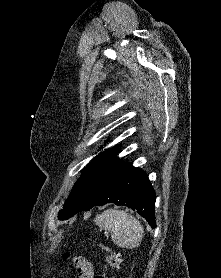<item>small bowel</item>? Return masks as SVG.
<instances>
[{"mask_svg":"<svg viewBox=\"0 0 221 278\" xmlns=\"http://www.w3.org/2000/svg\"><path fill=\"white\" fill-rule=\"evenodd\" d=\"M87 261V260H86ZM90 265H92V263H90L89 261H87ZM93 266V265H92Z\"/></svg>","mask_w":221,"mask_h":278,"instance_id":"small-bowel-1","label":"small bowel"}]
</instances>
